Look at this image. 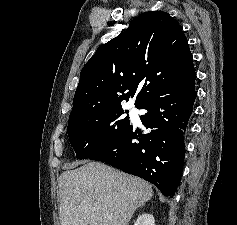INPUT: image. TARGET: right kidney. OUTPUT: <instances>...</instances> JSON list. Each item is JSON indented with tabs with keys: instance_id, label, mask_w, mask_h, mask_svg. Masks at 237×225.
Masks as SVG:
<instances>
[{
	"instance_id": "obj_1",
	"label": "right kidney",
	"mask_w": 237,
	"mask_h": 225,
	"mask_svg": "<svg viewBox=\"0 0 237 225\" xmlns=\"http://www.w3.org/2000/svg\"><path fill=\"white\" fill-rule=\"evenodd\" d=\"M134 225H155V220L151 214H142L138 217Z\"/></svg>"
}]
</instances>
